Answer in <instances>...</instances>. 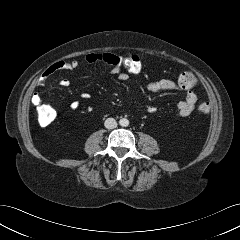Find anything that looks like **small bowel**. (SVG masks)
I'll return each instance as SVG.
<instances>
[{"label":"small bowel","instance_id":"1","mask_svg":"<svg viewBox=\"0 0 240 240\" xmlns=\"http://www.w3.org/2000/svg\"><path fill=\"white\" fill-rule=\"evenodd\" d=\"M102 56V53H90L86 56V61L90 64H98L103 63L100 60V57ZM106 64V63H104ZM108 65V64H106ZM110 73L118 75L119 79L122 81H125L128 79V75L120 70L113 69L110 65ZM79 67V62L77 60L72 61H57L53 63L48 70L45 73V78L52 75L53 73L57 71H71L75 70ZM59 85L62 87H68L70 85V81L68 79H61L59 81ZM147 89L150 92L158 93V92H164V91H172L175 89H181L178 82L170 80V79H162L158 81H151L147 84ZM183 90V89H182ZM80 97L83 99H88L90 95L86 92H80ZM198 101V96L195 92L189 91L186 95V98L183 101H180L177 104V116L178 117H186L188 116L196 107ZM32 102L37 105L38 103L42 102V99L38 93H34L32 96ZM79 106V103L77 101H73L70 104V107L72 109H77ZM148 111L150 113H153L156 111V108L154 106H148Z\"/></svg>","mask_w":240,"mask_h":240}]
</instances>
